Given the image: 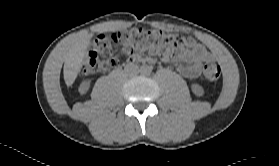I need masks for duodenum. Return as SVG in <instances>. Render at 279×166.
<instances>
[{"instance_id":"1","label":"duodenum","mask_w":279,"mask_h":166,"mask_svg":"<svg viewBox=\"0 0 279 166\" xmlns=\"http://www.w3.org/2000/svg\"><path fill=\"white\" fill-rule=\"evenodd\" d=\"M130 64H133L134 63V60H130V62H129Z\"/></svg>"}]
</instances>
